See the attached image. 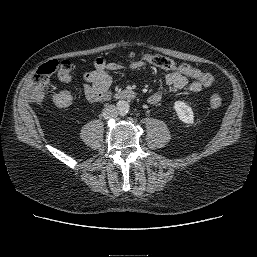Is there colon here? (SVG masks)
Instances as JSON below:
<instances>
[{
	"label": "colon",
	"mask_w": 257,
	"mask_h": 257,
	"mask_svg": "<svg viewBox=\"0 0 257 257\" xmlns=\"http://www.w3.org/2000/svg\"><path fill=\"white\" fill-rule=\"evenodd\" d=\"M128 61L131 63L136 59L145 60L150 64L164 69L177 71L193 80L199 81L204 87H211L214 84V76L210 73L203 72L188 64H177L168 57L162 55L144 54L137 56L131 52L127 55ZM51 77H55L62 83H69L72 80V65L69 61L51 60L41 65L34 73L31 84L27 89V96L31 101L42 102L44 91L48 86ZM71 95L66 92H60L53 98V104L57 107H67L71 104ZM209 104L216 109L222 105L221 96L214 92L209 97Z\"/></svg>",
	"instance_id": "obj_1"
}]
</instances>
